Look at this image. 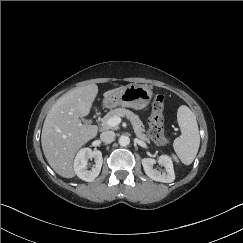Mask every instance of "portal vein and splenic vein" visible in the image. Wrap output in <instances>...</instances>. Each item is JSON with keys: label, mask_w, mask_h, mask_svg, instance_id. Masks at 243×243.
Wrapping results in <instances>:
<instances>
[{"label": "portal vein and splenic vein", "mask_w": 243, "mask_h": 243, "mask_svg": "<svg viewBox=\"0 0 243 243\" xmlns=\"http://www.w3.org/2000/svg\"><path fill=\"white\" fill-rule=\"evenodd\" d=\"M122 119L119 116H114L107 120V125L115 127L121 123Z\"/></svg>", "instance_id": "18ae733b"}]
</instances>
